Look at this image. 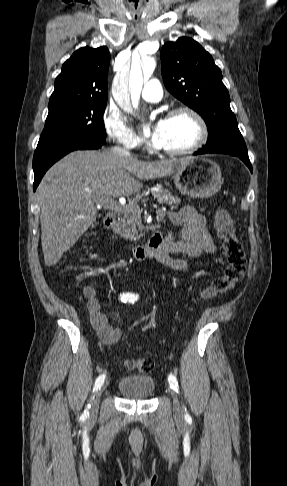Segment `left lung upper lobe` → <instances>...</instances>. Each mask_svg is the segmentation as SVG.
Returning <instances> with one entry per match:
<instances>
[{
	"mask_svg": "<svg viewBox=\"0 0 287 486\" xmlns=\"http://www.w3.org/2000/svg\"><path fill=\"white\" fill-rule=\"evenodd\" d=\"M161 61L166 89L198 112L207 125L208 141L201 150L248 155L221 70L211 55L195 40L181 37L162 46Z\"/></svg>",
	"mask_w": 287,
	"mask_h": 486,
	"instance_id": "left-lung-upper-lobe-1",
	"label": "left lung upper lobe"
}]
</instances>
